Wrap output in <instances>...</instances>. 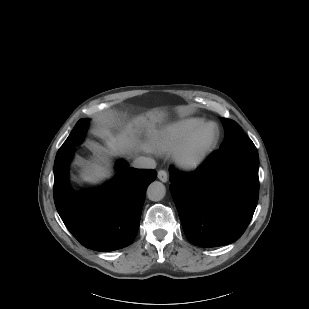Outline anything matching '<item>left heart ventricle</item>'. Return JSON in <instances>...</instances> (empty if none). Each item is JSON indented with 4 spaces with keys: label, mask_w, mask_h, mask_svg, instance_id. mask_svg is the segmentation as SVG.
Instances as JSON below:
<instances>
[{
    "label": "left heart ventricle",
    "mask_w": 309,
    "mask_h": 309,
    "mask_svg": "<svg viewBox=\"0 0 309 309\" xmlns=\"http://www.w3.org/2000/svg\"><path fill=\"white\" fill-rule=\"evenodd\" d=\"M214 134L213 128H208L203 131L193 144L192 151H198Z\"/></svg>",
    "instance_id": "b2bd125f"
}]
</instances>
